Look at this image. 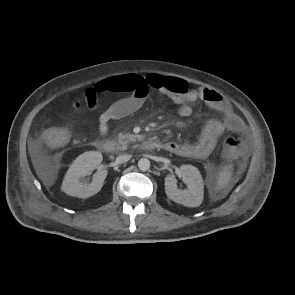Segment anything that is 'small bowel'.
Wrapping results in <instances>:
<instances>
[{
    "label": "small bowel",
    "instance_id": "obj_1",
    "mask_svg": "<svg viewBox=\"0 0 295 295\" xmlns=\"http://www.w3.org/2000/svg\"><path fill=\"white\" fill-rule=\"evenodd\" d=\"M150 89L168 96L178 105L179 115L191 116L192 104L202 101L222 115V119H212L204 127L199 139L193 143L165 142L163 149L179 156L204 159L215 148L218 139L224 132L240 134L245 129L243 120L234 112L232 106L217 92L206 88L190 89L182 79L158 74L146 76L123 75L107 78L94 84L97 94L126 92L129 96L119 99L103 111L98 119L101 135H106L109 123L129 116L139 110Z\"/></svg>",
    "mask_w": 295,
    "mask_h": 295
}]
</instances>
